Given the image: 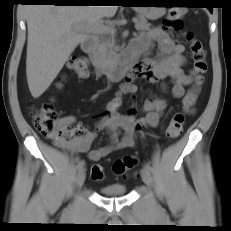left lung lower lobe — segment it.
<instances>
[{"mask_svg": "<svg viewBox=\"0 0 231 231\" xmlns=\"http://www.w3.org/2000/svg\"><path fill=\"white\" fill-rule=\"evenodd\" d=\"M209 11L212 13V7H208Z\"/></svg>", "mask_w": 231, "mask_h": 231, "instance_id": "obj_1", "label": "left lung lower lobe"}]
</instances>
